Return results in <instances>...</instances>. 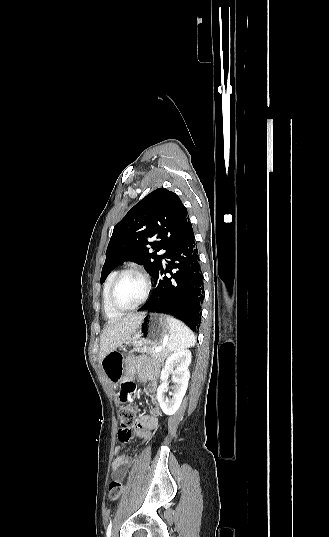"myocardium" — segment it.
Instances as JSON below:
<instances>
[{"label":"myocardium","instance_id":"myocardium-1","mask_svg":"<svg viewBox=\"0 0 329 537\" xmlns=\"http://www.w3.org/2000/svg\"><path fill=\"white\" fill-rule=\"evenodd\" d=\"M130 273L137 274L143 279L144 284H145V291H144V294L141 297V299L135 305H133L131 307L124 308V307L119 306L116 303V301H115V292H116L117 286H118L120 280L122 279V277L127 275V274H130ZM151 288H152L151 278H150L149 274L144 269H142L140 267H137V266L127 267V268L121 270L120 272H118V274L116 275V277L114 278V280L112 282V285H111L110 291H109V303H110V306L115 311H117L119 313L132 311V310L140 307L147 300V298H148V296L150 294Z\"/></svg>","mask_w":329,"mask_h":537}]
</instances>
